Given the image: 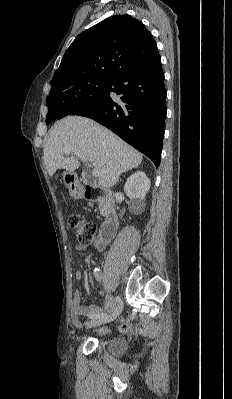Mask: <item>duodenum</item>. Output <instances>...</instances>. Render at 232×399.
Instances as JSON below:
<instances>
[{"label":"duodenum","instance_id":"duodenum-1","mask_svg":"<svg viewBox=\"0 0 232 399\" xmlns=\"http://www.w3.org/2000/svg\"><path fill=\"white\" fill-rule=\"evenodd\" d=\"M81 193L87 200L101 201L103 203L106 209V217L99 232V239L104 243H108L115 236L119 227V219L114 209L111 192L88 184L82 188Z\"/></svg>","mask_w":232,"mask_h":399}]
</instances>
